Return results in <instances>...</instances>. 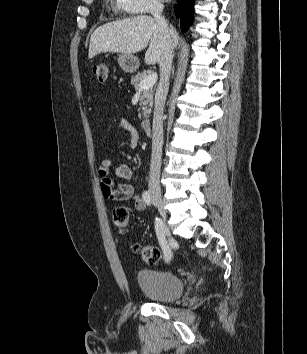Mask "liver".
<instances>
[{"label":"liver","instance_id":"liver-1","mask_svg":"<svg viewBox=\"0 0 307 354\" xmlns=\"http://www.w3.org/2000/svg\"><path fill=\"white\" fill-rule=\"evenodd\" d=\"M174 47L181 38L172 28ZM149 47L145 53V63H159L163 52L161 33L150 16H136L107 23L98 27L91 35L88 58L105 52L134 54Z\"/></svg>","mask_w":307,"mask_h":354}]
</instances>
